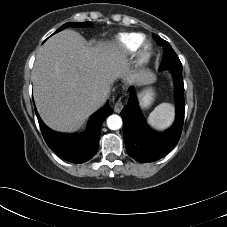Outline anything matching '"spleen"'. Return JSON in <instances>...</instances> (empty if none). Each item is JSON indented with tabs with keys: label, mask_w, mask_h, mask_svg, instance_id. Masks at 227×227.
I'll list each match as a JSON object with an SVG mask.
<instances>
[{
	"label": "spleen",
	"mask_w": 227,
	"mask_h": 227,
	"mask_svg": "<svg viewBox=\"0 0 227 227\" xmlns=\"http://www.w3.org/2000/svg\"><path fill=\"white\" fill-rule=\"evenodd\" d=\"M173 117V106L168 103H162L150 113L148 122L152 126L163 128L173 120Z\"/></svg>",
	"instance_id": "1"
}]
</instances>
